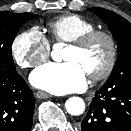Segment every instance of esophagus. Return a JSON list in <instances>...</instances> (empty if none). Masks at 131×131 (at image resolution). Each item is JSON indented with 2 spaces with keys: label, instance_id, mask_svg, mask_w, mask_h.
<instances>
[{
  "label": "esophagus",
  "instance_id": "obj_1",
  "mask_svg": "<svg viewBox=\"0 0 131 131\" xmlns=\"http://www.w3.org/2000/svg\"><path fill=\"white\" fill-rule=\"evenodd\" d=\"M35 95H36V97L39 98V99H45V98L51 97L50 94H48V93H46V92H44V91H37Z\"/></svg>",
  "mask_w": 131,
  "mask_h": 131
}]
</instances>
